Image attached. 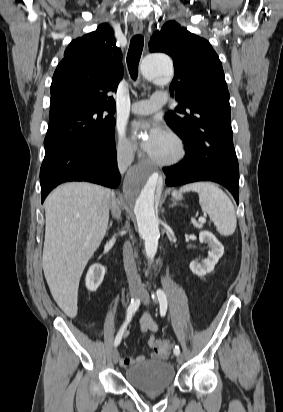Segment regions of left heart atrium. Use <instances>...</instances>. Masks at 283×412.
I'll return each instance as SVG.
<instances>
[{
  "instance_id": "1",
  "label": "left heart atrium",
  "mask_w": 283,
  "mask_h": 412,
  "mask_svg": "<svg viewBox=\"0 0 283 412\" xmlns=\"http://www.w3.org/2000/svg\"><path fill=\"white\" fill-rule=\"evenodd\" d=\"M166 132L156 122L148 124V131L146 137L142 140V147L148 152H152L160 141L164 138Z\"/></svg>"
}]
</instances>
